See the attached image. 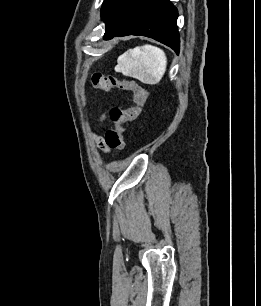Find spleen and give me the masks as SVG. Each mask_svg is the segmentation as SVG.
<instances>
[{
	"label": "spleen",
	"mask_w": 261,
	"mask_h": 306,
	"mask_svg": "<svg viewBox=\"0 0 261 306\" xmlns=\"http://www.w3.org/2000/svg\"><path fill=\"white\" fill-rule=\"evenodd\" d=\"M117 62V72L152 85L161 81L167 66L164 51L152 45L130 49Z\"/></svg>",
	"instance_id": "obj_1"
}]
</instances>
